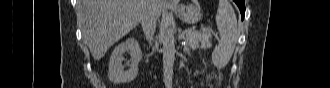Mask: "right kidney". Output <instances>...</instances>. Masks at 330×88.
<instances>
[{"mask_svg": "<svg viewBox=\"0 0 330 88\" xmlns=\"http://www.w3.org/2000/svg\"><path fill=\"white\" fill-rule=\"evenodd\" d=\"M129 52L132 63L129 70L125 71L122 65V54ZM142 59V52L138 41L130 37L126 41L118 44L112 52L109 61L108 77L114 83H126L134 80L138 74V64Z\"/></svg>", "mask_w": 330, "mask_h": 88, "instance_id": "right-kidney-1", "label": "right kidney"}]
</instances>
